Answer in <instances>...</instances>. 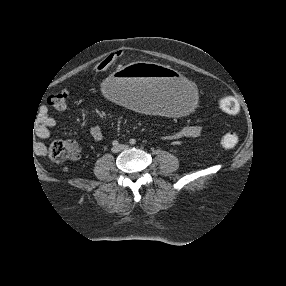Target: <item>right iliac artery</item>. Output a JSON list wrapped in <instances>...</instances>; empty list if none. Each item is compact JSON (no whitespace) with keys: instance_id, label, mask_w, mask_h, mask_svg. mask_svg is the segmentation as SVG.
I'll use <instances>...</instances> for the list:
<instances>
[{"instance_id":"82829eb1","label":"right iliac artery","mask_w":286,"mask_h":286,"mask_svg":"<svg viewBox=\"0 0 286 286\" xmlns=\"http://www.w3.org/2000/svg\"><path fill=\"white\" fill-rule=\"evenodd\" d=\"M112 144H113V146H118L119 143H118V141L115 140V141H113Z\"/></svg>"}]
</instances>
